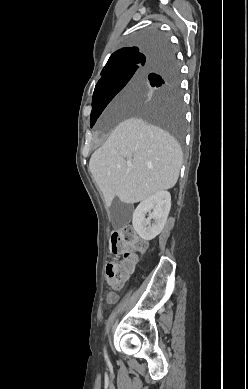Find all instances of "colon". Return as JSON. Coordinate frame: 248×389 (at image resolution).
Returning <instances> with one entry per match:
<instances>
[{"label": "colon", "mask_w": 248, "mask_h": 389, "mask_svg": "<svg viewBox=\"0 0 248 389\" xmlns=\"http://www.w3.org/2000/svg\"><path fill=\"white\" fill-rule=\"evenodd\" d=\"M146 243L140 239L131 226H125L115 232L111 239V250L120 254L124 262H109L106 265L108 284L113 288L120 287L133 268L138 253L145 251Z\"/></svg>", "instance_id": "obj_1"}]
</instances>
